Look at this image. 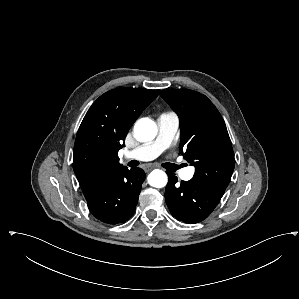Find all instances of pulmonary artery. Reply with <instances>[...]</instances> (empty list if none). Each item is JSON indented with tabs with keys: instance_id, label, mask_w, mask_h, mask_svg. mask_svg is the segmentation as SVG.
<instances>
[{
	"instance_id": "1",
	"label": "pulmonary artery",
	"mask_w": 299,
	"mask_h": 299,
	"mask_svg": "<svg viewBox=\"0 0 299 299\" xmlns=\"http://www.w3.org/2000/svg\"><path fill=\"white\" fill-rule=\"evenodd\" d=\"M157 122L158 135L156 139L126 152L125 158L149 161L159 156L170 146L179 128L178 116L173 112L162 113ZM193 175V167H187L180 171V177L183 180H190Z\"/></svg>"
}]
</instances>
